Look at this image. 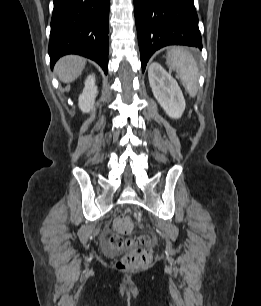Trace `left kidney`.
<instances>
[{"label": "left kidney", "mask_w": 261, "mask_h": 306, "mask_svg": "<svg viewBox=\"0 0 261 306\" xmlns=\"http://www.w3.org/2000/svg\"><path fill=\"white\" fill-rule=\"evenodd\" d=\"M149 83L153 94L166 114L179 119L185 110V99L176 80L158 63L148 69Z\"/></svg>", "instance_id": "1"}]
</instances>
